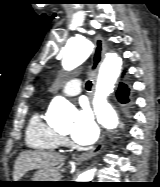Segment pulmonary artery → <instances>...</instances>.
Segmentation results:
<instances>
[{"mask_svg": "<svg viewBox=\"0 0 160 187\" xmlns=\"http://www.w3.org/2000/svg\"><path fill=\"white\" fill-rule=\"evenodd\" d=\"M62 93L66 96H78L81 93V81L77 78L67 81L62 89Z\"/></svg>", "mask_w": 160, "mask_h": 187, "instance_id": "obj_1", "label": "pulmonary artery"}]
</instances>
